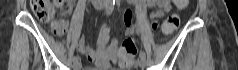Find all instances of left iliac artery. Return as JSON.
I'll list each match as a JSON object with an SVG mask.
<instances>
[{
  "mask_svg": "<svg viewBox=\"0 0 238 70\" xmlns=\"http://www.w3.org/2000/svg\"><path fill=\"white\" fill-rule=\"evenodd\" d=\"M116 4L118 5L119 4V1H116ZM140 58H146V54L144 51H140V54H139Z\"/></svg>",
  "mask_w": 238,
  "mask_h": 70,
  "instance_id": "1",
  "label": "left iliac artery"
}]
</instances>
